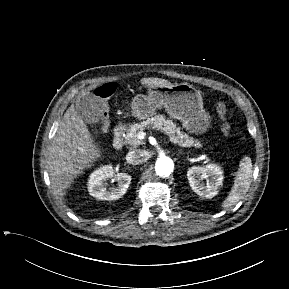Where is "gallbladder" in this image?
Segmentation results:
<instances>
[{
    "label": "gallbladder",
    "instance_id": "gallbladder-1",
    "mask_svg": "<svg viewBox=\"0 0 289 289\" xmlns=\"http://www.w3.org/2000/svg\"><path fill=\"white\" fill-rule=\"evenodd\" d=\"M76 109L89 124H98L102 119L101 108L93 94L82 96L76 103Z\"/></svg>",
    "mask_w": 289,
    "mask_h": 289
}]
</instances>
